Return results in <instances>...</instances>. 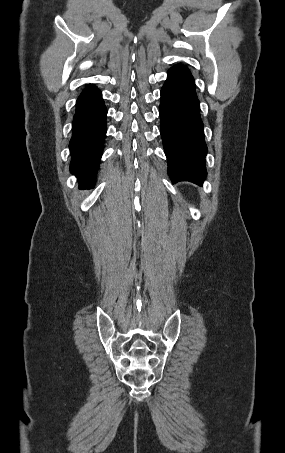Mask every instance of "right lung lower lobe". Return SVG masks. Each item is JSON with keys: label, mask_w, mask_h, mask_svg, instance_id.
I'll use <instances>...</instances> for the list:
<instances>
[{"label": "right lung lower lobe", "mask_w": 285, "mask_h": 453, "mask_svg": "<svg viewBox=\"0 0 285 453\" xmlns=\"http://www.w3.org/2000/svg\"><path fill=\"white\" fill-rule=\"evenodd\" d=\"M107 110L101 91L87 86L77 99L70 139V172L78 178L82 188L95 184V175L103 152Z\"/></svg>", "instance_id": "right-lung-lower-lobe-1"}]
</instances>
